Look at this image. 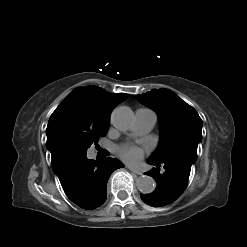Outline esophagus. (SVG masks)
I'll use <instances>...</instances> for the list:
<instances>
[{
	"label": "esophagus",
	"mask_w": 247,
	"mask_h": 247,
	"mask_svg": "<svg viewBox=\"0 0 247 247\" xmlns=\"http://www.w3.org/2000/svg\"><path fill=\"white\" fill-rule=\"evenodd\" d=\"M128 169L130 171H132L133 173H135V174H138V175H141L142 174L139 170H137V169H135V168H133L131 166H128Z\"/></svg>",
	"instance_id": "esophagus-1"
}]
</instances>
